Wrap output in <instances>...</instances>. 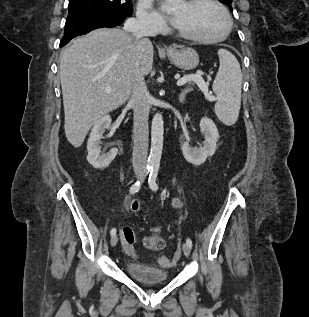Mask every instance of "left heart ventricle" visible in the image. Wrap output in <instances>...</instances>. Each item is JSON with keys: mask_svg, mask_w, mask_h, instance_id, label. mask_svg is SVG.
I'll return each instance as SVG.
<instances>
[{"mask_svg": "<svg viewBox=\"0 0 309 317\" xmlns=\"http://www.w3.org/2000/svg\"><path fill=\"white\" fill-rule=\"evenodd\" d=\"M175 27L187 34L200 37H217L225 28L223 15L212 4L188 5L180 2L172 10Z\"/></svg>", "mask_w": 309, "mask_h": 317, "instance_id": "left-heart-ventricle-1", "label": "left heart ventricle"}]
</instances>
